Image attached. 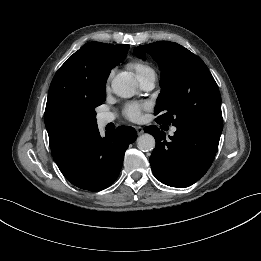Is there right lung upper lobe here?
Segmentation results:
<instances>
[{
    "label": "right lung upper lobe",
    "mask_w": 261,
    "mask_h": 261,
    "mask_svg": "<svg viewBox=\"0 0 261 261\" xmlns=\"http://www.w3.org/2000/svg\"><path fill=\"white\" fill-rule=\"evenodd\" d=\"M129 45L90 42L74 53L56 72L48 92L45 125L55 162L67 155L90 131L67 137L64 116L95 103L106 88L111 69L121 63Z\"/></svg>",
    "instance_id": "1"
}]
</instances>
